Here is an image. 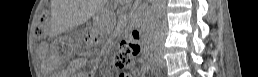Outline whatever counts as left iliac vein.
Instances as JSON below:
<instances>
[{
  "label": "left iliac vein",
  "mask_w": 258,
  "mask_h": 77,
  "mask_svg": "<svg viewBox=\"0 0 258 77\" xmlns=\"http://www.w3.org/2000/svg\"><path fill=\"white\" fill-rule=\"evenodd\" d=\"M156 58H157V63L159 66L164 67L166 65V61L164 60L161 53L157 54Z\"/></svg>",
  "instance_id": "obj_1"
}]
</instances>
